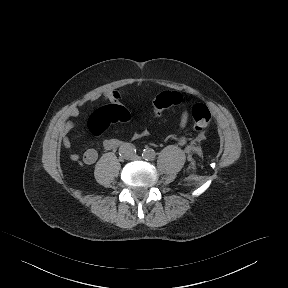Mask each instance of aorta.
<instances>
[{"mask_svg": "<svg viewBox=\"0 0 288 288\" xmlns=\"http://www.w3.org/2000/svg\"><path fill=\"white\" fill-rule=\"evenodd\" d=\"M155 157V152L153 149H146L143 151V158L146 160H153Z\"/></svg>", "mask_w": 288, "mask_h": 288, "instance_id": "obj_1", "label": "aorta"}]
</instances>
